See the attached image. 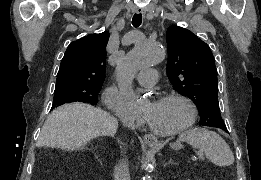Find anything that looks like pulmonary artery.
<instances>
[{
    "instance_id": "pulmonary-artery-1",
    "label": "pulmonary artery",
    "mask_w": 261,
    "mask_h": 180,
    "mask_svg": "<svg viewBox=\"0 0 261 180\" xmlns=\"http://www.w3.org/2000/svg\"><path fill=\"white\" fill-rule=\"evenodd\" d=\"M157 79L158 72L156 69H142V73H138L136 76V80L141 83L138 85L139 89H152V84H154Z\"/></svg>"
}]
</instances>
